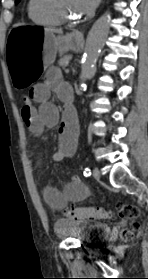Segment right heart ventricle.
Segmentation results:
<instances>
[{
  "label": "right heart ventricle",
  "instance_id": "e07e8e85",
  "mask_svg": "<svg viewBox=\"0 0 148 279\" xmlns=\"http://www.w3.org/2000/svg\"><path fill=\"white\" fill-rule=\"evenodd\" d=\"M27 12L32 22L40 26H57L61 23L47 10L44 0H28Z\"/></svg>",
  "mask_w": 148,
  "mask_h": 279
}]
</instances>
